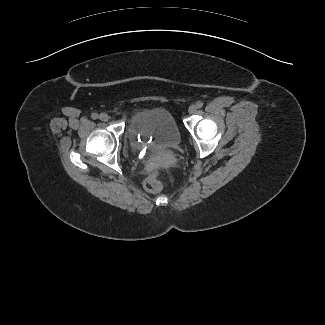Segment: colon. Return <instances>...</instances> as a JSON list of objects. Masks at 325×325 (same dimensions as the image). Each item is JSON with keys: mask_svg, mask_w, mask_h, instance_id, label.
<instances>
[{"mask_svg": "<svg viewBox=\"0 0 325 325\" xmlns=\"http://www.w3.org/2000/svg\"><path fill=\"white\" fill-rule=\"evenodd\" d=\"M159 171L151 173L144 181V187L147 191L157 193L163 189V184L159 178Z\"/></svg>", "mask_w": 325, "mask_h": 325, "instance_id": "obj_1", "label": "colon"}]
</instances>
